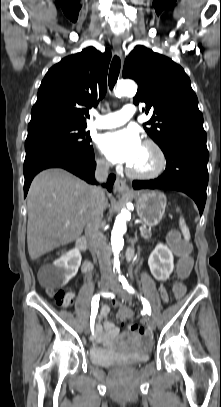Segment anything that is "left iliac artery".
<instances>
[{
    "label": "left iliac artery",
    "instance_id": "44dca946",
    "mask_svg": "<svg viewBox=\"0 0 221 407\" xmlns=\"http://www.w3.org/2000/svg\"><path fill=\"white\" fill-rule=\"evenodd\" d=\"M121 282H122L123 288L126 291H128L130 294L136 293L135 289L131 285H129V283L125 279H122ZM141 300H142V304H143V308H144L145 312L148 315H151V306H150L149 302L143 297H141Z\"/></svg>",
    "mask_w": 221,
    "mask_h": 407
}]
</instances>
